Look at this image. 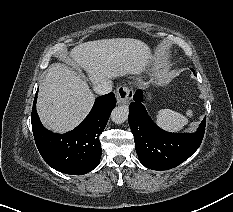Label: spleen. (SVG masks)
Here are the masks:
<instances>
[{"mask_svg":"<svg viewBox=\"0 0 233 212\" xmlns=\"http://www.w3.org/2000/svg\"><path fill=\"white\" fill-rule=\"evenodd\" d=\"M193 116V110L188 109L186 116L171 109H161L157 113L156 123L170 132H178L188 123V117Z\"/></svg>","mask_w":233,"mask_h":212,"instance_id":"spleen-1","label":"spleen"}]
</instances>
